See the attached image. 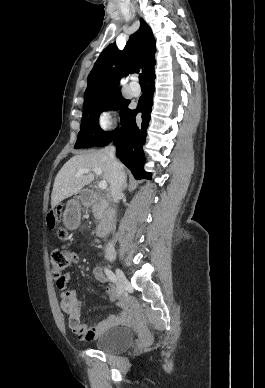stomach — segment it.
Listing matches in <instances>:
<instances>
[{
    "label": "stomach",
    "mask_w": 265,
    "mask_h": 388,
    "mask_svg": "<svg viewBox=\"0 0 265 388\" xmlns=\"http://www.w3.org/2000/svg\"><path fill=\"white\" fill-rule=\"evenodd\" d=\"M80 202L76 199L70 200L67 203L66 210L64 211V223L67 227L74 228L80 220Z\"/></svg>",
    "instance_id": "1"
}]
</instances>
